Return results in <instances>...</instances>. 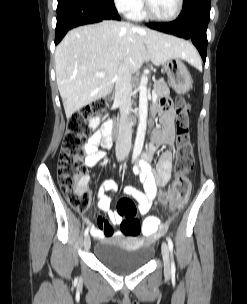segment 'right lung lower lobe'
<instances>
[{
	"label": "right lung lower lobe",
	"instance_id": "98d812e1",
	"mask_svg": "<svg viewBox=\"0 0 247 304\" xmlns=\"http://www.w3.org/2000/svg\"><path fill=\"white\" fill-rule=\"evenodd\" d=\"M108 19L120 20L113 0H58L55 44L74 27Z\"/></svg>",
	"mask_w": 247,
	"mask_h": 304
}]
</instances>
